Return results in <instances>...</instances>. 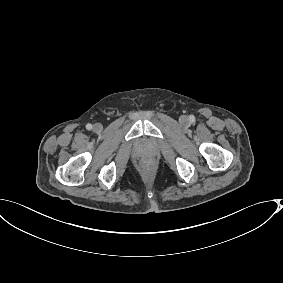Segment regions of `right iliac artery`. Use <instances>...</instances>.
I'll list each match as a JSON object with an SVG mask.
<instances>
[{"label": "right iliac artery", "instance_id": "1", "mask_svg": "<svg viewBox=\"0 0 283 283\" xmlns=\"http://www.w3.org/2000/svg\"><path fill=\"white\" fill-rule=\"evenodd\" d=\"M86 128H87V130H91L92 129V125L91 124H87Z\"/></svg>", "mask_w": 283, "mask_h": 283}]
</instances>
